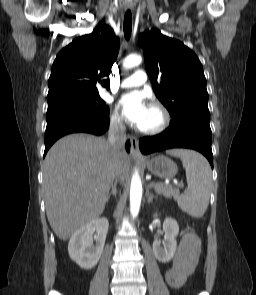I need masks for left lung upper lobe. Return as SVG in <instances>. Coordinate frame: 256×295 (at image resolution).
I'll list each match as a JSON object with an SVG mask.
<instances>
[{
	"mask_svg": "<svg viewBox=\"0 0 256 295\" xmlns=\"http://www.w3.org/2000/svg\"><path fill=\"white\" fill-rule=\"evenodd\" d=\"M138 43L153 90L168 109L171 125L188 118L209 122L206 78L196 54L157 29L140 34Z\"/></svg>",
	"mask_w": 256,
	"mask_h": 295,
	"instance_id": "5c2ea615",
	"label": "left lung upper lobe"
}]
</instances>
